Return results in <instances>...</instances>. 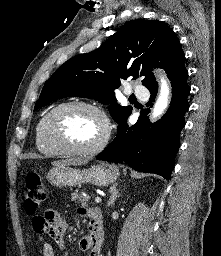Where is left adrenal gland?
Returning <instances> with one entry per match:
<instances>
[{"label": "left adrenal gland", "instance_id": "1", "mask_svg": "<svg viewBox=\"0 0 221 256\" xmlns=\"http://www.w3.org/2000/svg\"><path fill=\"white\" fill-rule=\"evenodd\" d=\"M117 184H114L110 189V199L108 201L107 207L112 206L116 201L117 197L120 196L119 190L116 188Z\"/></svg>", "mask_w": 221, "mask_h": 256}]
</instances>
